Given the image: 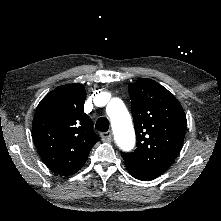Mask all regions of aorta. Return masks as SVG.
<instances>
[{
  "instance_id": "aorta-1",
  "label": "aorta",
  "mask_w": 221,
  "mask_h": 221,
  "mask_svg": "<svg viewBox=\"0 0 221 221\" xmlns=\"http://www.w3.org/2000/svg\"><path fill=\"white\" fill-rule=\"evenodd\" d=\"M111 120L113 134L117 145L124 151H130L135 145V132L130 114L123 101L112 99L106 107Z\"/></svg>"
}]
</instances>
